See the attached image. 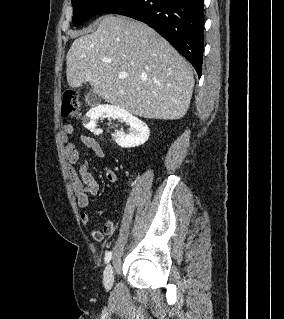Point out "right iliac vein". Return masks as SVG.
<instances>
[{"label":"right iliac vein","mask_w":284,"mask_h":319,"mask_svg":"<svg viewBox=\"0 0 284 319\" xmlns=\"http://www.w3.org/2000/svg\"><path fill=\"white\" fill-rule=\"evenodd\" d=\"M114 282V271L113 266L108 264L104 270L103 283L107 290H110Z\"/></svg>","instance_id":"obj_1"}]
</instances>
